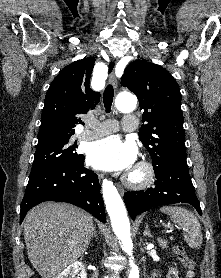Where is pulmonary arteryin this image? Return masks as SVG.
<instances>
[{
	"instance_id": "pulmonary-artery-1",
	"label": "pulmonary artery",
	"mask_w": 221,
	"mask_h": 278,
	"mask_svg": "<svg viewBox=\"0 0 221 278\" xmlns=\"http://www.w3.org/2000/svg\"><path fill=\"white\" fill-rule=\"evenodd\" d=\"M137 119L132 115H127L122 120V126L125 130L131 131L136 126ZM88 130H85L80 136L83 139H95L97 137L115 132L119 123L116 120L106 122L88 121Z\"/></svg>"
}]
</instances>
